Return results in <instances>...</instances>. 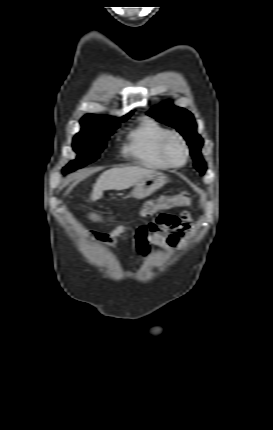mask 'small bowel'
<instances>
[{"label": "small bowel", "mask_w": 273, "mask_h": 430, "mask_svg": "<svg viewBox=\"0 0 273 430\" xmlns=\"http://www.w3.org/2000/svg\"><path fill=\"white\" fill-rule=\"evenodd\" d=\"M190 230V217L187 213H183L179 218L160 215L152 222L137 229L119 225L109 233H97L90 235V237L109 246H115L117 238L129 232L137 243L140 259L144 260L147 258L152 245L166 251L175 250L179 247L182 237Z\"/></svg>", "instance_id": "c3829d8e"}]
</instances>
